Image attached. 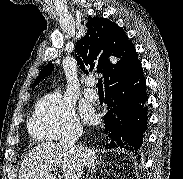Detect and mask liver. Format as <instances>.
<instances>
[{"label": "liver", "instance_id": "1", "mask_svg": "<svg viewBox=\"0 0 183 179\" xmlns=\"http://www.w3.org/2000/svg\"><path fill=\"white\" fill-rule=\"evenodd\" d=\"M80 159L83 167H90L97 161L94 150L87 147H77V157L65 150L60 143L47 142L39 144L29 151L24 158L19 179H57L51 171L61 167L64 179H77L76 160Z\"/></svg>", "mask_w": 183, "mask_h": 179}]
</instances>
